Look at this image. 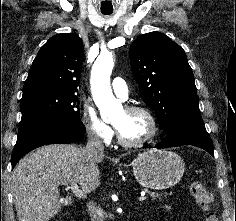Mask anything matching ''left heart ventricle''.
<instances>
[{
  "label": "left heart ventricle",
  "mask_w": 236,
  "mask_h": 221,
  "mask_svg": "<svg viewBox=\"0 0 236 221\" xmlns=\"http://www.w3.org/2000/svg\"><path fill=\"white\" fill-rule=\"evenodd\" d=\"M113 124L128 141L143 139L151 130L150 122L144 114L127 112L125 109L117 115Z\"/></svg>",
  "instance_id": "left-heart-ventricle-1"
}]
</instances>
